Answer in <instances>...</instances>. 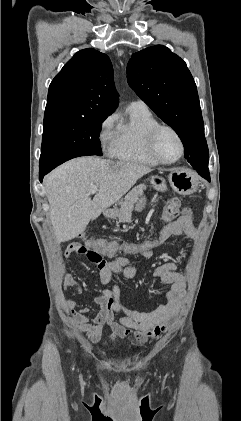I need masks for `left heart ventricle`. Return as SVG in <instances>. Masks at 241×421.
<instances>
[{
	"mask_svg": "<svg viewBox=\"0 0 241 421\" xmlns=\"http://www.w3.org/2000/svg\"><path fill=\"white\" fill-rule=\"evenodd\" d=\"M156 149L160 157L167 161L174 160L180 153V145L177 138L167 130L159 133L156 140Z\"/></svg>",
	"mask_w": 241,
	"mask_h": 421,
	"instance_id": "1",
	"label": "left heart ventricle"
}]
</instances>
